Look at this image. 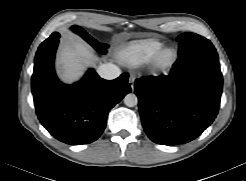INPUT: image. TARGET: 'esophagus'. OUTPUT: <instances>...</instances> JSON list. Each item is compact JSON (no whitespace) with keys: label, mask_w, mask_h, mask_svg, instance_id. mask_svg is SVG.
<instances>
[{"label":"esophagus","mask_w":246,"mask_h":181,"mask_svg":"<svg viewBox=\"0 0 246 181\" xmlns=\"http://www.w3.org/2000/svg\"><path fill=\"white\" fill-rule=\"evenodd\" d=\"M134 82H135V77L133 75H130L128 79V83L130 84L131 89H134Z\"/></svg>","instance_id":"1"}]
</instances>
